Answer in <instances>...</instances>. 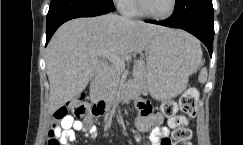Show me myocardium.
<instances>
[{
    "label": "myocardium",
    "instance_id": "f54148a6",
    "mask_svg": "<svg viewBox=\"0 0 243 145\" xmlns=\"http://www.w3.org/2000/svg\"><path fill=\"white\" fill-rule=\"evenodd\" d=\"M135 1V6H136V9H137V12L142 15V16H145L147 18H150V19H154V20H165V19H168L170 18L176 8H177V0H172L171 1V7L169 9V11L163 15H154L152 13H149L144 7H143V4H142V0H134Z\"/></svg>",
    "mask_w": 243,
    "mask_h": 145
}]
</instances>
